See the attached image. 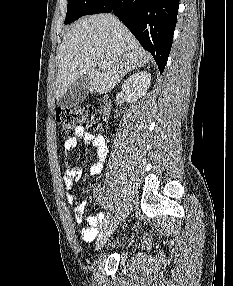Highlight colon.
<instances>
[{"label":"colon","instance_id":"1","mask_svg":"<svg viewBox=\"0 0 233 286\" xmlns=\"http://www.w3.org/2000/svg\"><path fill=\"white\" fill-rule=\"evenodd\" d=\"M55 120L64 137H70L78 126L88 131L98 128V118L90 108L60 109L55 114Z\"/></svg>","mask_w":233,"mask_h":286}]
</instances>
